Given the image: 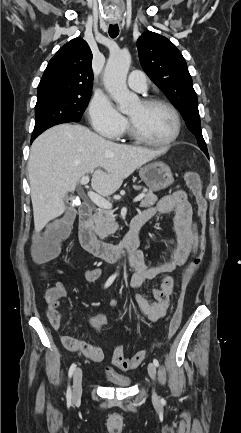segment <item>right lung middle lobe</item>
<instances>
[{"instance_id":"dd1d6c3e","label":"right lung middle lobe","mask_w":241,"mask_h":433,"mask_svg":"<svg viewBox=\"0 0 241 433\" xmlns=\"http://www.w3.org/2000/svg\"><path fill=\"white\" fill-rule=\"evenodd\" d=\"M90 96H49L37 99L32 137H37L54 125L79 122Z\"/></svg>"}]
</instances>
